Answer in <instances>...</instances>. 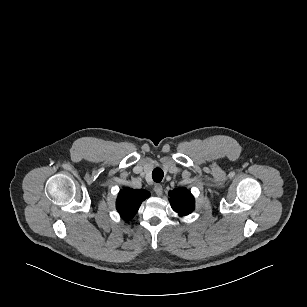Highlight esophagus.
Here are the masks:
<instances>
[{
  "label": "esophagus",
  "instance_id": "1",
  "mask_svg": "<svg viewBox=\"0 0 307 307\" xmlns=\"http://www.w3.org/2000/svg\"><path fill=\"white\" fill-rule=\"evenodd\" d=\"M154 192H155L156 195H158V196L162 195V192H163V187H162V185L156 184V185L154 186Z\"/></svg>",
  "mask_w": 307,
  "mask_h": 307
}]
</instances>
